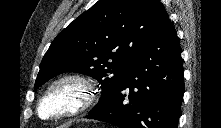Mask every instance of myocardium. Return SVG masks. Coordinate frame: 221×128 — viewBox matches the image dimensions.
<instances>
[{
  "instance_id": "myocardium-1",
  "label": "myocardium",
  "mask_w": 221,
  "mask_h": 128,
  "mask_svg": "<svg viewBox=\"0 0 221 128\" xmlns=\"http://www.w3.org/2000/svg\"><path fill=\"white\" fill-rule=\"evenodd\" d=\"M62 92L69 94L66 103L58 104ZM94 81L83 73H68L53 80L41 95L36 113L41 120L52 121L77 115L95 101Z\"/></svg>"
}]
</instances>
